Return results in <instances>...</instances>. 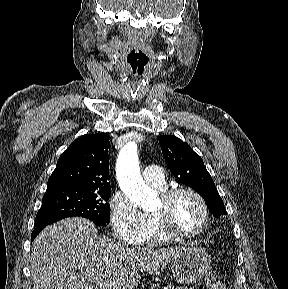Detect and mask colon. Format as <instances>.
I'll use <instances>...</instances> for the list:
<instances>
[{
  "instance_id": "5ec220e1",
  "label": "colon",
  "mask_w": 288,
  "mask_h": 289,
  "mask_svg": "<svg viewBox=\"0 0 288 289\" xmlns=\"http://www.w3.org/2000/svg\"><path fill=\"white\" fill-rule=\"evenodd\" d=\"M207 289H228L225 280L215 271H209L206 274Z\"/></svg>"
}]
</instances>
